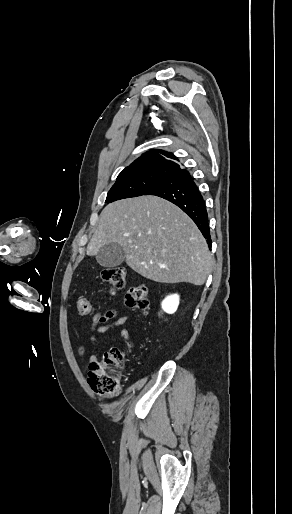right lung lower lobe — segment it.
<instances>
[{
	"mask_svg": "<svg viewBox=\"0 0 292 514\" xmlns=\"http://www.w3.org/2000/svg\"><path fill=\"white\" fill-rule=\"evenodd\" d=\"M144 195L164 198L182 209L197 225L211 248L205 201L187 170L178 171L149 189Z\"/></svg>",
	"mask_w": 292,
	"mask_h": 514,
	"instance_id": "obj_1",
	"label": "right lung lower lobe"
}]
</instances>
